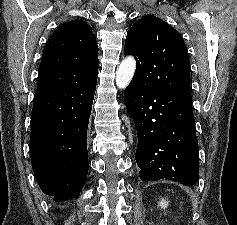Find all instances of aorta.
Segmentation results:
<instances>
[{"label":"aorta","mask_w":237,"mask_h":225,"mask_svg":"<svg viewBox=\"0 0 237 225\" xmlns=\"http://www.w3.org/2000/svg\"><path fill=\"white\" fill-rule=\"evenodd\" d=\"M136 62L129 56L122 60L116 71V85L119 89H125L135 73Z\"/></svg>","instance_id":"762f6f07"}]
</instances>
